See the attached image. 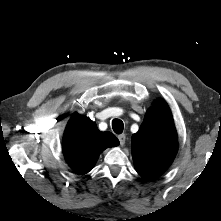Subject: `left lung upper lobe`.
Segmentation results:
<instances>
[{"instance_id": "5c2ea615", "label": "left lung upper lobe", "mask_w": 221, "mask_h": 221, "mask_svg": "<svg viewBox=\"0 0 221 221\" xmlns=\"http://www.w3.org/2000/svg\"><path fill=\"white\" fill-rule=\"evenodd\" d=\"M178 148L171 111L157 100L147 111L137 133L132 136L135 169L144 179L158 177L171 165Z\"/></svg>"}]
</instances>
